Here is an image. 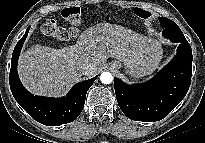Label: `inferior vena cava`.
I'll use <instances>...</instances> for the list:
<instances>
[{"label": "inferior vena cava", "mask_w": 205, "mask_h": 143, "mask_svg": "<svg viewBox=\"0 0 205 143\" xmlns=\"http://www.w3.org/2000/svg\"><path fill=\"white\" fill-rule=\"evenodd\" d=\"M95 72V65L92 63H84L81 66V73L85 76H92Z\"/></svg>", "instance_id": "602c4592"}]
</instances>
